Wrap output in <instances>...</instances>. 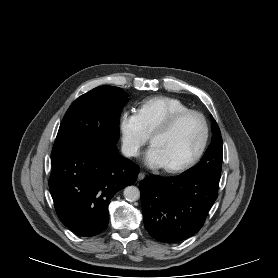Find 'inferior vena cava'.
Masks as SVG:
<instances>
[{"label":"inferior vena cava","mask_w":278,"mask_h":278,"mask_svg":"<svg viewBox=\"0 0 278 278\" xmlns=\"http://www.w3.org/2000/svg\"><path fill=\"white\" fill-rule=\"evenodd\" d=\"M122 153L126 157L136 156L137 155V147L134 145L123 144L122 145Z\"/></svg>","instance_id":"obj_1"}]
</instances>
